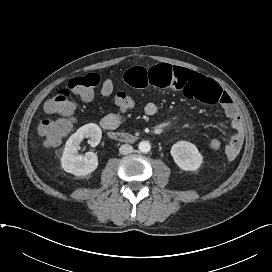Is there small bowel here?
Segmentation results:
<instances>
[{
	"label": "small bowel",
	"instance_id": "1",
	"mask_svg": "<svg viewBox=\"0 0 272 272\" xmlns=\"http://www.w3.org/2000/svg\"><path fill=\"white\" fill-rule=\"evenodd\" d=\"M124 78L133 88H173L180 90L188 99L220 104L234 131L225 147V154L230 160L239 155L245 136V125L232 98L216 82L194 71L168 64L132 68L125 73ZM157 111V106L151 102L144 107V112L148 116H154ZM121 120V113L112 112L105 115L100 123L104 129L114 130L120 125Z\"/></svg>",
	"mask_w": 272,
	"mask_h": 272
}]
</instances>
